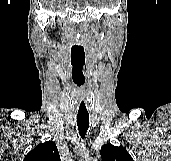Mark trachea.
Instances as JSON below:
<instances>
[{
    "instance_id": "obj_1",
    "label": "trachea",
    "mask_w": 171,
    "mask_h": 161,
    "mask_svg": "<svg viewBox=\"0 0 171 161\" xmlns=\"http://www.w3.org/2000/svg\"><path fill=\"white\" fill-rule=\"evenodd\" d=\"M77 125L79 134L82 139L85 138L87 130L89 128V113L88 112H78L77 114Z\"/></svg>"
}]
</instances>
